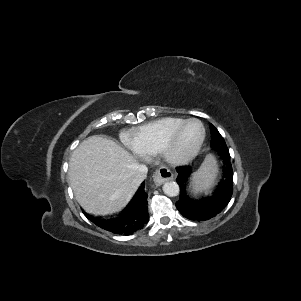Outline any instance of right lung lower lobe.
Listing matches in <instances>:
<instances>
[{"label":"right lung lower lobe","instance_id":"98d812e1","mask_svg":"<svg viewBox=\"0 0 301 301\" xmlns=\"http://www.w3.org/2000/svg\"><path fill=\"white\" fill-rule=\"evenodd\" d=\"M147 193L144 185L139 189L137 195L127 207V212L117 217L93 218L87 214L85 216L100 228L119 235H132L137 230L143 228L148 222Z\"/></svg>","mask_w":301,"mask_h":301}]
</instances>
